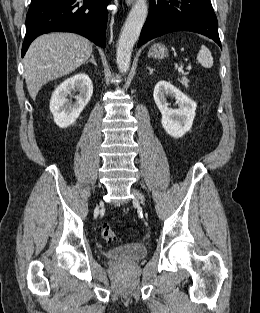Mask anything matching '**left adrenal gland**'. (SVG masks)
<instances>
[{"instance_id": "left-adrenal-gland-1", "label": "left adrenal gland", "mask_w": 260, "mask_h": 313, "mask_svg": "<svg viewBox=\"0 0 260 313\" xmlns=\"http://www.w3.org/2000/svg\"><path fill=\"white\" fill-rule=\"evenodd\" d=\"M147 68H148V70H149L150 74H151V73H153V71H154V69H153V68H151V67H147Z\"/></svg>"}]
</instances>
